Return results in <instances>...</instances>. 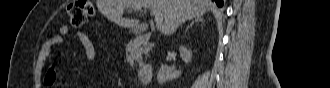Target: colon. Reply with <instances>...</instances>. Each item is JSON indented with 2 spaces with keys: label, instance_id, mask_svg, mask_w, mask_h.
Here are the masks:
<instances>
[{
  "label": "colon",
  "instance_id": "obj_1",
  "mask_svg": "<svg viewBox=\"0 0 330 88\" xmlns=\"http://www.w3.org/2000/svg\"><path fill=\"white\" fill-rule=\"evenodd\" d=\"M69 23L74 27L85 25L94 14V7L89 0H79L70 4L67 8Z\"/></svg>",
  "mask_w": 330,
  "mask_h": 88
}]
</instances>
